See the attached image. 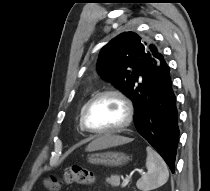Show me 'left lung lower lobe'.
Here are the masks:
<instances>
[{"label": "left lung lower lobe", "instance_id": "left-lung-lower-lobe-1", "mask_svg": "<svg viewBox=\"0 0 210 191\" xmlns=\"http://www.w3.org/2000/svg\"><path fill=\"white\" fill-rule=\"evenodd\" d=\"M154 76L150 92L141 95L134 124L138 133L163 157L174 173L180 132L170 68L164 64Z\"/></svg>", "mask_w": 210, "mask_h": 191}]
</instances>
